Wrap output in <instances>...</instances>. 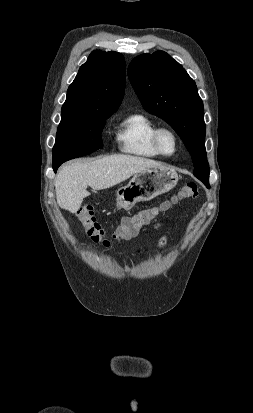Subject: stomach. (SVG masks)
Returning a JSON list of instances; mask_svg holds the SVG:
<instances>
[{
    "instance_id": "1",
    "label": "stomach",
    "mask_w": 253,
    "mask_h": 413,
    "mask_svg": "<svg viewBox=\"0 0 253 413\" xmlns=\"http://www.w3.org/2000/svg\"><path fill=\"white\" fill-rule=\"evenodd\" d=\"M177 182L178 174L166 167L138 172L117 191V207L129 210L139 201H149L168 192Z\"/></svg>"
}]
</instances>
